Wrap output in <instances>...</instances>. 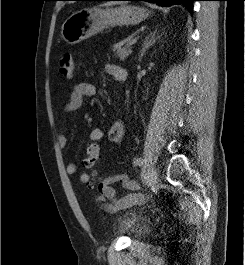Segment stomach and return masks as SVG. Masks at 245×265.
Masks as SVG:
<instances>
[{"instance_id":"stomach-1","label":"stomach","mask_w":245,"mask_h":265,"mask_svg":"<svg viewBox=\"0 0 245 265\" xmlns=\"http://www.w3.org/2000/svg\"><path fill=\"white\" fill-rule=\"evenodd\" d=\"M150 14L145 8L127 5L83 8L64 21L61 36L68 44L75 45L109 26L139 24Z\"/></svg>"}]
</instances>
